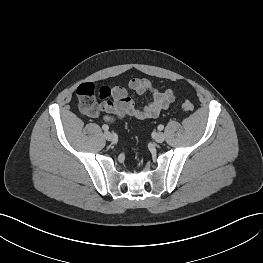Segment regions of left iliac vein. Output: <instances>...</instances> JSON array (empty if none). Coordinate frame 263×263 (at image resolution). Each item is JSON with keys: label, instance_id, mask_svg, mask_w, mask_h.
I'll return each mask as SVG.
<instances>
[{"label": "left iliac vein", "instance_id": "left-iliac-vein-1", "mask_svg": "<svg viewBox=\"0 0 263 263\" xmlns=\"http://www.w3.org/2000/svg\"><path fill=\"white\" fill-rule=\"evenodd\" d=\"M165 140V136L162 132H158L156 135H155V141L157 143H162L163 141Z\"/></svg>", "mask_w": 263, "mask_h": 263}]
</instances>
